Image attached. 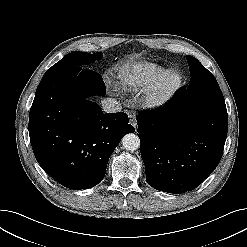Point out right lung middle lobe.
Instances as JSON below:
<instances>
[{
  "mask_svg": "<svg viewBox=\"0 0 247 247\" xmlns=\"http://www.w3.org/2000/svg\"><path fill=\"white\" fill-rule=\"evenodd\" d=\"M102 53L89 54L85 52H72L63 57L60 61L49 68L45 74H51L56 71L73 67H85V65L92 63L99 59Z\"/></svg>",
  "mask_w": 247,
  "mask_h": 247,
  "instance_id": "obj_1",
  "label": "right lung middle lobe"
}]
</instances>
